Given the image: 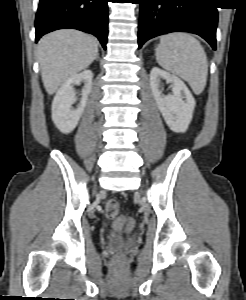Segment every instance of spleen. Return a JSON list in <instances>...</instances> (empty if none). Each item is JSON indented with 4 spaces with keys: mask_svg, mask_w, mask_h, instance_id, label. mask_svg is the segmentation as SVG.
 <instances>
[{
    "mask_svg": "<svg viewBox=\"0 0 246 300\" xmlns=\"http://www.w3.org/2000/svg\"><path fill=\"white\" fill-rule=\"evenodd\" d=\"M155 55L162 68L187 81L196 95L203 92L208 62L204 48L195 37L184 32L163 35Z\"/></svg>",
    "mask_w": 246,
    "mask_h": 300,
    "instance_id": "spleen-1",
    "label": "spleen"
}]
</instances>
